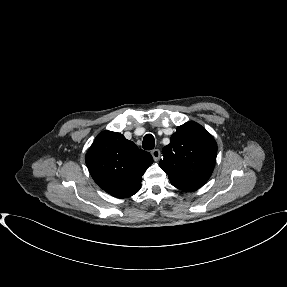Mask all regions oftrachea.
I'll return each instance as SVG.
<instances>
[{
    "instance_id": "1",
    "label": "trachea",
    "mask_w": 287,
    "mask_h": 287,
    "mask_svg": "<svg viewBox=\"0 0 287 287\" xmlns=\"http://www.w3.org/2000/svg\"><path fill=\"white\" fill-rule=\"evenodd\" d=\"M142 146L145 150H152L155 147V139L152 134H146Z\"/></svg>"
}]
</instances>
